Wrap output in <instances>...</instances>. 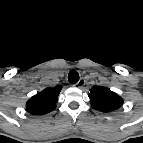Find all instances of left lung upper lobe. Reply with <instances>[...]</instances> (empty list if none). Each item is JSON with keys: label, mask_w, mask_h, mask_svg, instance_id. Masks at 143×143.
<instances>
[{"label": "left lung upper lobe", "mask_w": 143, "mask_h": 143, "mask_svg": "<svg viewBox=\"0 0 143 143\" xmlns=\"http://www.w3.org/2000/svg\"><path fill=\"white\" fill-rule=\"evenodd\" d=\"M91 106L102 112H111L119 109L123 99L106 87L94 86L90 89Z\"/></svg>", "instance_id": "obj_1"}]
</instances>
